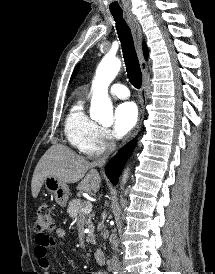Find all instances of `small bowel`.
<instances>
[{
    "instance_id": "small-bowel-1",
    "label": "small bowel",
    "mask_w": 215,
    "mask_h": 274,
    "mask_svg": "<svg viewBox=\"0 0 215 274\" xmlns=\"http://www.w3.org/2000/svg\"><path fill=\"white\" fill-rule=\"evenodd\" d=\"M59 239H64L66 237V232L62 228H56L53 230ZM57 245V241L47 234H37L35 237V249L34 254L38 260L40 268L46 273H49L50 262L48 259V251L51 247ZM57 274H65L64 272H58ZM87 274H105L102 271H92Z\"/></svg>"
}]
</instances>
